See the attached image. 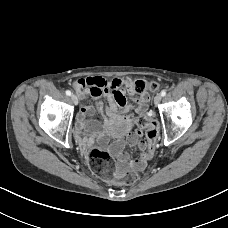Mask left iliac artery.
Listing matches in <instances>:
<instances>
[{
  "instance_id": "1",
  "label": "left iliac artery",
  "mask_w": 228,
  "mask_h": 228,
  "mask_svg": "<svg viewBox=\"0 0 228 228\" xmlns=\"http://www.w3.org/2000/svg\"><path fill=\"white\" fill-rule=\"evenodd\" d=\"M166 95V91L165 90H162L161 91V96H165Z\"/></svg>"
}]
</instances>
